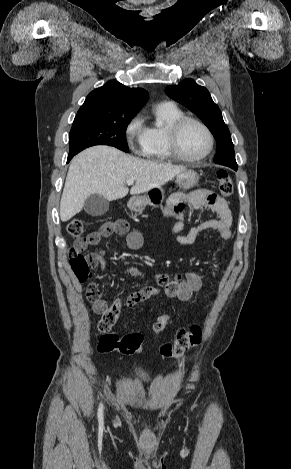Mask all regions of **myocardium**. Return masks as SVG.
<instances>
[{
  "label": "myocardium",
  "instance_id": "obj_1",
  "mask_svg": "<svg viewBox=\"0 0 291 469\" xmlns=\"http://www.w3.org/2000/svg\"><path fill=\"white\" fill-rule=\"evenodd\" d=\"M187 123H195L198 126H200L204 130L208 138V147L206 151L201 156L196 157V158L186 157L185 155L182 154L180 150V146H179L180 133L183 127ZM167 143H168L169 151L174 159L179 160L181 162H185V163H199L205 160L211 154L214 148V136L210 128L200 119L191 117V116H182L181 118L174 121L168 128Z\"/></svg>",
  "mask_w": 291,
  "mask_h": 469
}]
</instances>
